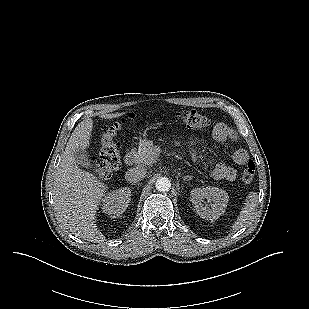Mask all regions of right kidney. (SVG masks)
<instances>
[{"instance_id": "obj_1", "label": "right kidney", "mask_w": 309, "mask_h": 309, "mask_svg": "<svg viewBox=\"0 0 309 309\" xmlns=\"http://www.w3.org/2000/svg\"><path fill=\"white\" fill-rule=\"evenodd\" d=\"M131 201L130 188H121L108 193L103 199V212L116 218L123 214Z\"/></svg>"}]
</instances>
